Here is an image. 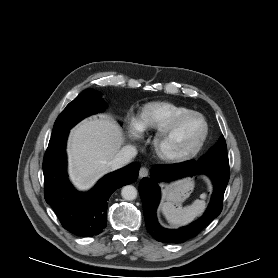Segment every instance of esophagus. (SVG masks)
Instances as JSON below:
<instances>
[{
	"label": "esophagus",
	"mask_w": 278,
	"mask_h": 278,
	"mask_svg": "<svg viewBox=\"0 0 278 278\" xmlns=\"http://www.w3.org/2000/svg\"><path fill=\"white\" fill-rule=\"evenodd\" d=\"M149 175V170L146 167H141L139 170V177H147Z\"/></svg>",
	"instance_id": "1"
}]
</instances>
